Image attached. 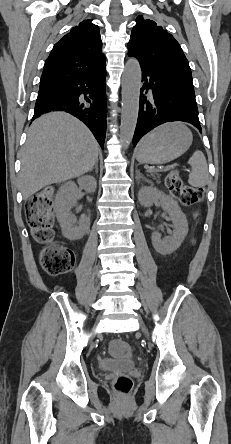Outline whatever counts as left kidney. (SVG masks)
Listing matches in <instances>:
<instances>
[{
	"label": "left kidney",
	"instance_id": "5707ae66",
	"mask_svg": "<svg viewBox=\"0 0 231 444\" xmlns=\"http://www.w3.org/2000/svg\"><path fill=\"white\" fill-rule=\"evenodd\" d=\"M138 200L144 207H151L155 201L159 200L162 209L169 214L173 223L172 235L161 239L160 233L154 232L151 238L153 247L158 253L162 255L171 254L181 245L188 233L186 215L172 197L151 186H144L140 189Z\"/></svg>",
	"mask_w": 231,
	"mask_h": 444
}]
</instances>
